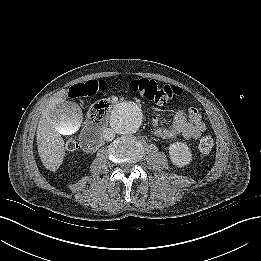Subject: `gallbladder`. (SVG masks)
<instances>
[{"label":"gallbladder","instance_id":"gallbladder-1","mask_svg":"<svg viewBox=\"0 0 261 261\" xmlns=\"http://www.w3.org/2000/svg\"><path fill=\"white\" fill-rule=\"evenodd\" d=\"M50 119L57 132L71 135L82 126L83 113L76 103L65 101L51 111Z\"/></svg>","mask_w":261,"mask_h":261}]
</instances>
